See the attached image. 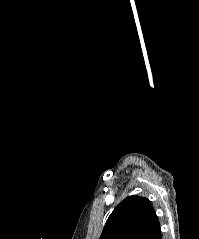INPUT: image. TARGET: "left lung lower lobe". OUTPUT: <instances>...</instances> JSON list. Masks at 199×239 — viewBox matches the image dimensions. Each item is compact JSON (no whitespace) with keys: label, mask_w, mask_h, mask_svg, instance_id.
Returning a JSON list of instances; mask_svg holds the SVG:
<instances>
[{"label":"left lung lower lobe","mask_w":199,"mask_h":239,"mask_svg":"<svg viewBox=\"0 0 199 239\" xmlns=\"http://www.w3.org/2000/svg\"><path fill=\"white\" fill-rule=\"evenodd\" d=\"M154 239H162V235H161V230L159 229V231L157 232L156 236Z\"/></svg>","instance_id":"left-lung-lower-lobe-1"}]
</instances>
